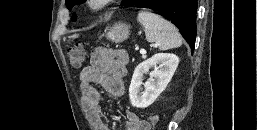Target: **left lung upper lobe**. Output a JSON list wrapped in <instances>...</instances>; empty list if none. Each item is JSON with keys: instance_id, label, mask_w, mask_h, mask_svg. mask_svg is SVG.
I'll list each match as a JSON object with an SVG mask.
<instances>
[{"instance_id": "obj_1", "label": "left lung upper lobe", "mask_w": 257, "mask_h": 130, "mask_svg": "<svg viewBox=\"0 0 257 130\" xmlns=\"http://www.w3.org/2000/svg\"><path fill=\"white\" fill-rule=\"evenodd\" d=\"M83 0H66V6L68 9H71L74 5L81 3ZM138 0H123L122 5H135ZM72 20H76V15L74 14Z\"/></svg>"}]
</instances>
